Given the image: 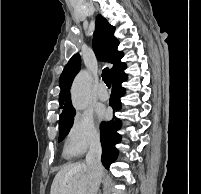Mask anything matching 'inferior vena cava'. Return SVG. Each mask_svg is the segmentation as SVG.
<instances>
[{"label": "inferior vena cava", "instance_id": "inferior-vena-cava-1", "mask_svg": "<svg viewBox=\"0 0 201 194\" xmlns=\"http://www.w3.org/2000/svg\"><path fill=\"white\" fill-rule=\"evenodd\" d=\"M102 147L99 139L94 140L86 155L88 168V189L87 194H97L102 177L101 164Z\"/></svg>", "mask_w": 201, "mask_h": 194}]
</instances>
